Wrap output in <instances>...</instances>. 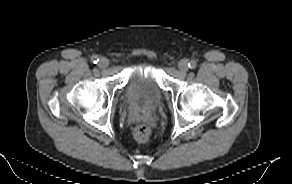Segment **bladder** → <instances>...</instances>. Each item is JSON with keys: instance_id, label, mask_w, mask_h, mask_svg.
Returning <instances> with one entry per match:
<instances>
[{"instance_id": "obj_1", "label": "bladder", "mask_w": 292, "mask_h": 184, "mask_svg": "<svg viewBox=\"0 0 292 184\" xmlns=\"http://www.w3.org/2000/svg\"><path fill=\"white\" fill-rule=\"evenodd\" d=\"M163 94L153 67L140 65L132 69L123 90V99L131 107L153 108L161 102Z\"/></svg>"}]
</instances>
